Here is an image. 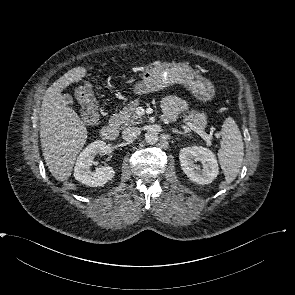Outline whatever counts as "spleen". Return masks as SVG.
I'll list each match as a JSON object with an SVG mask.
<instances>
[{
  "label": "spleen",
  "mask_w": 295,
  "mask_h": 295,
  "mask_svg": "<svg viewBox=\"0 0 295 295\" xmlns=\"http://www.w3.org/2000/svg\"><path fill=\"white\" fill-rule=\"evenodd\" d=\"M221 136L222 145L218 151V159L225 175V183L230 184L237 177L244 156L241 132L233 118H226L222 125Z\"/></svg>",
  "instance_id": "1"
}]
</instances>
